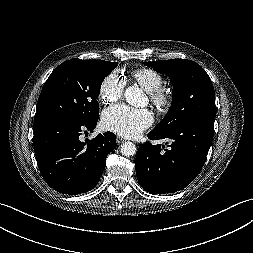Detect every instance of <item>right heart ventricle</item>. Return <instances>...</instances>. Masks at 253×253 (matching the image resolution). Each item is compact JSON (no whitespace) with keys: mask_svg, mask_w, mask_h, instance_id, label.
<instances>
[{"mask_svg":"<svg viewBox=\"0 0 253 253\" xmlns=\"http://www.w3.org/2000/svg\"><path fill=\"white\" fill-rule=\"evenodd\" d=\"M131 76L148 92L161 87L163 83V78L160 73L152 68H139L133 71Z\"/></svg>","mask_w":253,"mask_h":253,"instance_id":"e07e8e85","label":"right heart ventricle"}]
</instances>
